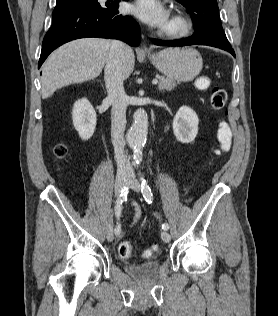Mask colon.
<instances>
[{"label":"colon","instance_id":"5ec220e1","mask_svg":"<svg viewBox=\"0 0 278 316\" xmlns=\"http://www.w3.org/2000/svg\"><path fill=\"white\" fill-rule=\"evenodd\" d=\"M208 85V80L206 78H201L198 80V86L204 87ZM227 102V92L223 88H214L211 93L210 103L213 109L221 110L225 107ZM218 141L219 147L217 150L218 154H224L229 151L232 141V133L228 124L222 121L219 124L218 128ZM54 153L58 158H63L67 154V147L65 144H57L54 147ZM156 246H153L149 251L146 252V255H150L155 251ZM134 251V247L129 241H122L119 244L118 252L122 258H129Z\"/></svg>","mask_w":278,"mask_h":316}]
</instances>
